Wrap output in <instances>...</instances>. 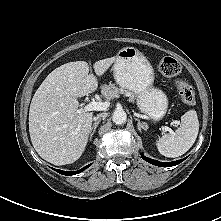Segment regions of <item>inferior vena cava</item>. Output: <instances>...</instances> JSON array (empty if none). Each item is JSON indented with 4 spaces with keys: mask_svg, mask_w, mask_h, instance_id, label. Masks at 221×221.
Wrapping results in <instances>:
<instances>
[{
    "mask_svg": "<svg viewBox=\"0 0 221 221\" xmlns=\"http://www.w3.org/2000/svg\"><path fill=\"white\" fill-rule=\"evenodd\" d=\"M107 117V113H100L95 116L93 119L94 121H101V119H105Z\"/></svg>",
    "mask_w": 221,
    "mask_h": 221,
    "instance_id": "602c4592",
    "label": "inferior vena cava"
}]
</instances>
